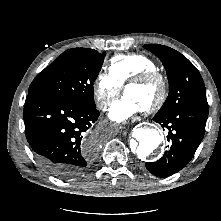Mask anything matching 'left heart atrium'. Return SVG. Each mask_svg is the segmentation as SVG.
<instances>
[{"label":"left heart atrium","instance_id":"39dd6f15","mask_svg":"<svg viewBox=\"0 0 221 221\" xmlns=\"http://www.w3.org/2000/svg\"><path fill=\"white\" fill-rule=\"evenodd\" d=\"M141 109L135 100L127 95H123L111 104L108 116L113 121L124 122L139 113Z\"/></svg>","mask_w":221,"mask_h":221}]
</instances>
